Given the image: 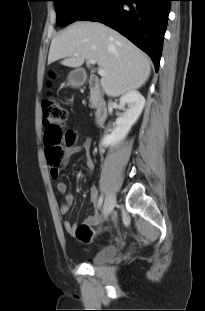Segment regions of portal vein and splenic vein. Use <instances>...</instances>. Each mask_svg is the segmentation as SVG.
Masks as SVG:
<instances>
[{
  "label": "portal vein and splenic vein",
  "mask_w": 205,
  "mask_h": 311,
  "mask_svg": "<svg viewBox=\"0 0 205 311\" xmlns=\"http://www.w3.org/2000/svg\"><path fill=\"white\" fill-rule=\"evenodd\" d=\"M75 56H77V54H74ZM89 63L94 65L96 63V61L94 59H90L89 60ZM98 74L100 76H105L106 75V72L103 70V69H98Z\"/></svg>",
  "instance_id": "18ae733b"
}]
</instances>
